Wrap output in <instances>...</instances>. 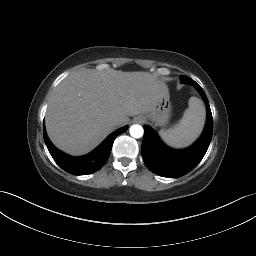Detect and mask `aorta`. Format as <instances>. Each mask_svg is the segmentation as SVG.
Here are the masks:
<instances>
[{"instance_id":"aorta-1","label":"aorta","mask_w":256,"mask_h":256,"mask_svg":"<svg viewBox=\"0 0 256 256\" xmlns=\"http://www.w3.org/2000/svg\"><path fill=\"white\" fill-rule=\"evenodd\" d=\"M129 132L133 138H141L144 134V129L141 125L134 124L130 127Z\"/></svg>"}]
</instances>
